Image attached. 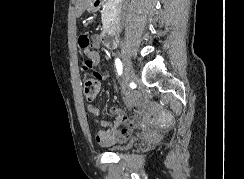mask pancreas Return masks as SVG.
<instances>
[{
  "instance_id": "1",
  "label": "pancreas",
  "mask_w": 244,
  "mask_h": 179,
  "mask_svg": "<svg viewBox=\"0 0 244 179\" xmlns=\"http://www.w3.org/2000/svg\"><path fill=\"white\" fill-rule=\"evenodd\" d=\"M106 6H108V4H106ZM106 12H107V10H106V8H104V10H103V12H102V18H103V16H104V14H106Z\"/></svg>"
}]
</instances>
